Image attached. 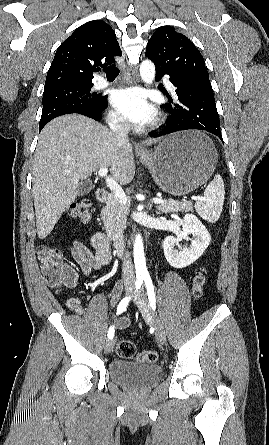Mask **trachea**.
<instances>
[{
	"mask_svg": "<svg viewBox=\"0 0 269 445\" xmlns=\"http://www.w3.org/2000/svg\"><path fill=\"white\" fill-rule=\"evenodd\" d=\"M107 77H117L119 75V69L116 67H109L104 70Z\"/></svg>",
	"mask_w": 269,
	"mask_h": 445,
	"instance_id": "obj_1",
	"label": "trachea"
}]
</instances>
